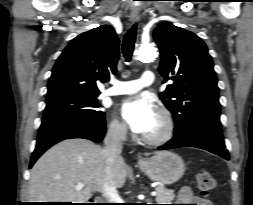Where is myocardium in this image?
I'll list each match as a JSON object with an SVG mask.
<instances>
[{"mask_svg": "<svg viewBox=\"0 0 253 205\" xmlns=\"http://www.w3.org/2000/svg\"><path fill=\"white\" fill-rule=\"evenodd\" d=\"M161 123L162 130L154 136L144 135L142 140L149 145H161L172 139L175 132V121L172 113L164 107L158 109L157 112Z\"/></svg>", "mask_w": 253, "mask_h": 205, "instance_id": "obj_1", "label": "myocardium"}]
</instances>
